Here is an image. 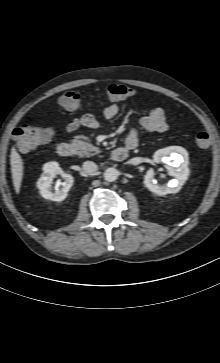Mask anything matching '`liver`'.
Masks as SVG:
<instances>
[{
    "label": "liver",
    "mask_w": 220,
    "mask_h": 363,
    "mask_svg": "<svg viewBox=\"0 0 220 363\" xmlns=\"http://www.w3.org/2000/svg\"><path fill=\"white\" fill-rule=\"evenodd\" d=\"M11 173L13 179L14 189L17 194L20 192L21 183L23 179V160L15 147L12 148L10 154Z\"/></svg>",
    "instance_id": "liver-1"
}]
</instances>
